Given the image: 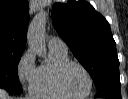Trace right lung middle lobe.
<instances>
[{"instance_id":"obj_1","label":"right lung middle lobe","mask_w":128,"mask_h":99,"mask_svg":"<svg viewBox=\"0 0 128 99\" xmlns=\"http://www.w3.org/2000/svg\"><path fill=\"white\" fill-rule=\"evenodd\" d=\"M23 51L0 49V88L22 93L19 84L18 63Z\"/></svg>"}]
</instances>
